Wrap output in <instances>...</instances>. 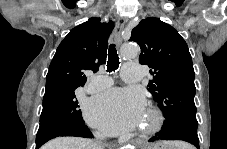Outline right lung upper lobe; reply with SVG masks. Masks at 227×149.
Masks as SVG:
<instances>
[{
  "label": "right lung upper lobe",
  "instance_id": "1",
  "mask_svg": "<svg viewBox=\"0 0 227 149\" xmlns=\"http://www.w3.org/2000/svg\"><path fill=\"white\" fill-rule=\"evenodd\" d=\"M113 27V22L101 23L100 18H90L74 27L51 61L46 89L83 86L87 80L85 71L97 72L106 62L107 41Z\"/></svg>",
  "mask_w": 227,
  "mask_h": 149
}]
</instances>
